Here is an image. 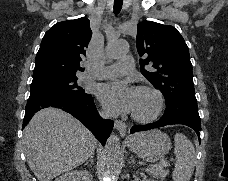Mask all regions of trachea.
Masks as SVG:
<instances>
[{
    "label": "trachea",
    "instance_id": "3493384b",
    "mask_svg": "<svg viewBox=\"0 0 228 181\" xmlns=\"http://www.w3.org/2000/svg\"><path fill=\"white\" fill-rule=\"evenodd\" d=\"M122 6H123V0H114L113 10L115 15H118L120 13Z\"/></svg>",
    "mask_w": 228,
    "mask_h": 181
}]
</instances>
